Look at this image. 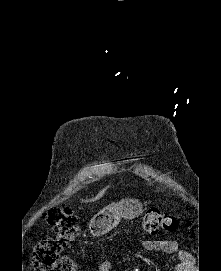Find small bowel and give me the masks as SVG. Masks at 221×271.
Segmentation results:
<instances>
[{
	"label": "small bowel",
	"mask_w": 221,
	"mask_h": 271,
	"mask_svg": "<svg viewBox=\"0 0 221 271\" xmlns=\"http://www.w3.org/2000/svg\"><path fill=\"white\" fill-rule=\"evenodd\" d=\"M143 248L148 252L161 251L169 255H177L180 263L175 271H192L193 258L188 251L179 250L178 244L171 239H146L142 242ZM98 271H112L113 260L103 256L97 267Z\"/></svg>",
	"instance_id": "c3829d8e"
}]
</instances>
